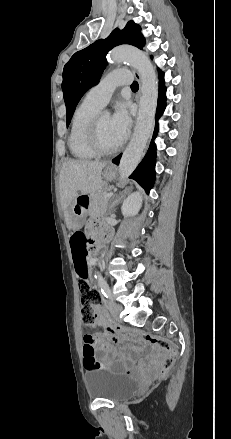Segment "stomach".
<instances>
[{"label": "stomach", "instance_id": "stomach-1", "mask_svg": "<svg viewBox=\"0 0 231 439\" xmlns=\"http://www.w3.org/2000/svg\"><path fill=\"white\" fill-rule=\"evenodd\" d=\"M103 176L106 180H112L115 176V168L112 165H107L104 169ZM90 195L80 194L72 203L64 209V221L66 227L70 231H76L82 225V218L86 213L88 204L91 202Z\"/></svg>", "mask_w": 231, "mask_h": 439}]
</instances>
